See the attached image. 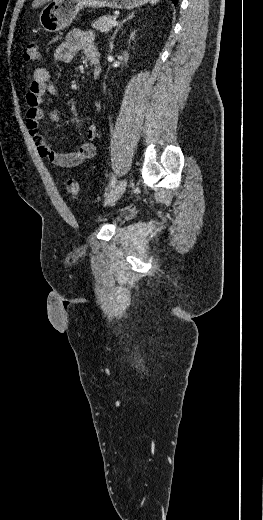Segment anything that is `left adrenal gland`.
I'll return each instance as SVG.
<instances>
[{
    "label": "left adrenal gland",
    "instance_id": "a2214340",
    "mask_svg": "<svg viewBox=\"0 0 263 520\" xmlns=\"http://www.w3.org/2000/svg\"><path fill=\"white\" fill-rule=\"evenodd\" d=\"M133 17H134V12H132L131 14H129L128 17H127L126 19H124V20L120 23V25L116 28V30L114 31V33H113V35H112V37H111V39H110V51L113 50V47H114V45H113V40H114V38H115L117 32L119 31V29L123 26V24H124L126 21L132 19Z\"/></svg>",
    "mask_w": 263,
    "mask_h": 520
}]
</instances>
